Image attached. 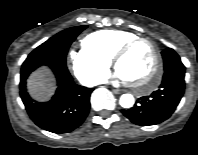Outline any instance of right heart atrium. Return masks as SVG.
Returning <instances> with one entry per match:
<instances>
[{"instance_id": "d8ad5b80", "label": "right heart atrium", "mask_w": 198, "mask_h": 155, "mask_svg": "<svg viewBox=\"0 0 198 155\" xmlns=\"http://www.w3.org/2000/svg\"><path fill=\"white\" fill-rule=\"evenodd\" d=\"M68 61L74 75L86 85L101 83L108 72L110 61L99 56L84 45L72 47L68 53Z\"/></svg>"}]
</instances>
